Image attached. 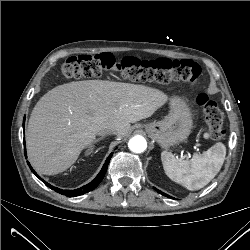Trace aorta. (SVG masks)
Masks as SVG:
<instances>
[{"label": "aorta", "instance_id": "1", "mask_svg": "<svg viewBox=\"0 0 250 250\" xmlns=\"http://www.w3.org/2000/svg\"><path fill=\"white\" fill-rule=\"evenodd\" d=\"M128 147L134 153H142L147 148V142L144 137L137 135L129 140Z\"/></svg>", "mask_w": 250, "mask_h": 250}]
</instances>
